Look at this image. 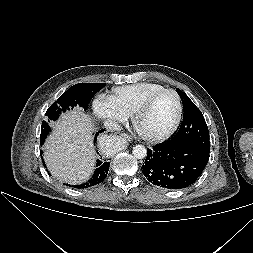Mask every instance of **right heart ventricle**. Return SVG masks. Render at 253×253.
Listing matches in <instances>:
<instances>
[{
  "instance_id": "1",
  "label": "right heart ventricle",
  "mask_w": 253,
  "mask_h": 253,
  "mask_svg": "<svg viewBox=\"0 0 253 253\" xmlns=\"http://www.w3.org/2000/svg\"><path fill=\"white\" fill-rule=\"evenodd\" d=\"M162 89V85L155 83H137L115 88L110 98L117 109L128 118L133 116L147 97Z\"/></svg>"
}]
</instances>
